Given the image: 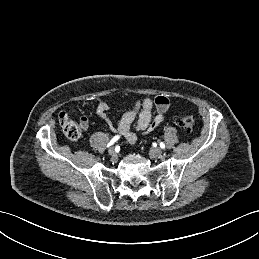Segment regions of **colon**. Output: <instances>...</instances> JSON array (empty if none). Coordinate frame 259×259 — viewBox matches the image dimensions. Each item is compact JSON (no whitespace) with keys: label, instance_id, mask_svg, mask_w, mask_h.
Listing matches in <instances>:
<instances>
[{"label":"colon","instance_id":"obj_1","mask_svg":"<svg viewBox=\"0 0 259 259\" xmlns=\"http://www.w3.org/2000/svg\"><path fill=\"white\" fill-rule=\"evenodd\" d=\"M59 123L67 139L76 141L81 137V127L72 121L65 113L60 114ZM179 124L185 132L190 133L194 126V119L191 116H184L180 119Z\"/></svg>","mask_w":259,"mask_h":259}]
</instances>
